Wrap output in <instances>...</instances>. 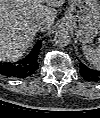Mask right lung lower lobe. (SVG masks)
Segmentation results:
<instances>
[{
    "label": "right lung lower lobe",
    "instance_id": "98d812e1",
    "mask_svg": "<svg viewBox=\"0 0 100 118\" xmlns=\"http://www.w3.org/2000/svg\"><path fill=\"white\" fill-rule=\"evenodd\" d=\"M41 48V42L39 41L31 53L23 60L17 63H2L0 64V73L8 77L26 78L34 73L39 67L37 58Z\"/></svg>",
    "mask_w": 100,
    "mask_h": 118
}]
</instances>
